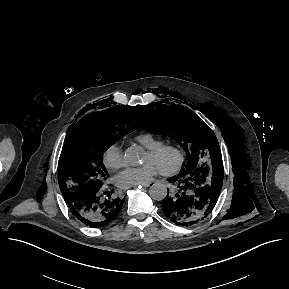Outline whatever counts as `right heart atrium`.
Listing matches in <instances>:
<instances>
[{"label": "right heart atrium", "instance_id": "1", "mask_svg": "<svg viewBox=\"0 0 289 289\" xmlns=\"http://www.w3.org/2000/svg\"><path fill=\"white\" fill-rule=\"evenodd\" d=\"M102 162L112 170L121 168L124 165V157L120 144H110L102 153Z\"/></svg>", "mask_w": 289, "mask_h": 289}]
</instances>
